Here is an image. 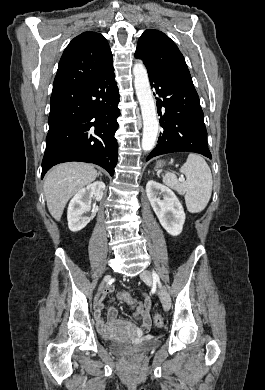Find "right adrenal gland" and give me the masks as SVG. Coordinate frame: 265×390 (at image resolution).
<instances>
[{"mask_svg":"<svg viewBox=\"0 0 265 390\" xmlns=\"http://www.w3.org/2000/svg\"><path fill=\"white\" fill-rule=\"evenodd\" d=\"M98 175L102 176V173H101V172H98Z\"/></svg>","mask_w":265,"mask_h":390,"instance_id":"obj_1","label":"right adrenal gland"}]
</instances>
